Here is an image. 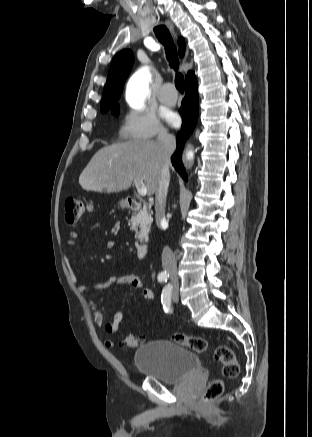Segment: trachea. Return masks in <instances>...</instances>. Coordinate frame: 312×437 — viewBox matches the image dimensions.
I'll return each instance as SVG.
<instances>
[{
  "mask_svg": "<svg viewBox=\"0 0 312 437\" xmlns=\"http://www.w3.org/2000/svg\"><path fill=\"white\" fill-rule=\"evenodd\" d=\"M154 32H155L158 40L165 47L166 58L169 62V65L171 66V68L177 70V68L179 66V60L177 57V49H176V46L174 45V42L171 38V35H170L168 29L166 28V26L161 25V26L155 27ZM183 84H184V77L181 73L177 72L176 78H175V86L179 90V92H181V93L184 92Z\"/></svg>",
  "mask_w": 312,
  "mask_h": 437,
  "instance_id": "trachea-1",
  "label": "trachea"
}]
</instances>
